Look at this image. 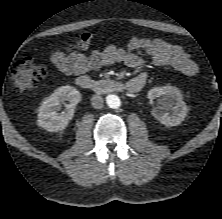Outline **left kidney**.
Wrapping results in <instances>:
<instances>
[{
	"mask_svg": "<svg viewBox=\"0 0 222 219\" xmlns=\"http://www.w3.org/2000/svg\"><path fill=\"white\" fill-rule=\"evenodd\" d=\"M161 97L152 115L165 126L179 125L187 115V106L181 91L170 85L154 87L148 92L149 99Z\"/></svg>",
	"mask_w": 222,
	"mask_h": 219,
	"instance_id": "obj_1",
	"label": "left kidney"
}]
</instances>
